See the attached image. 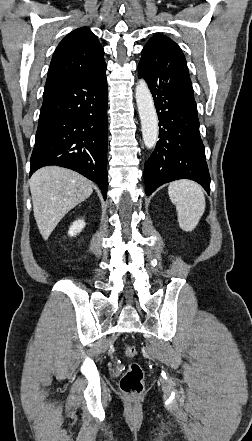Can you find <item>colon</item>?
<instances>
[{"label":"colon","instance_id":"obj_1","mask_svg":"<svg viewBox=\"0 0 252 441\" xmlns=\"http://www.w3.org/2000/svg\"><path fill=\"white\" fill-rule=\"evenodd\" d=\"M137 351L134 346L128 345L124 348V355L132 359L136 356ZM120 388L122 392L129 398H136L141 395L144 389L143 371L137 362H131L121 378Z\"/></svg>","mask_w":252,"mask_h":441}]
</instances>
